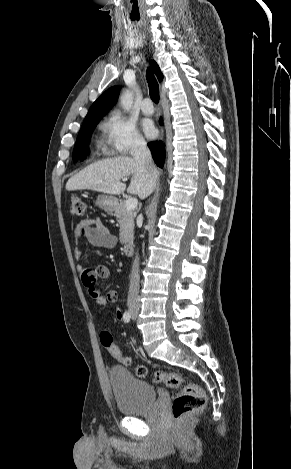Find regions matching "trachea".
Masks as SVG:
<instances>
[{
    "label": "trachea",
    "instance_id": "obj_1",
    "mask_svg": "<svg viewBox=\"0 0 291 469\" xmlns=\"http://www.w3.org/2000/svg\"><path fill=\"white\" fill-rule=\"evenodd\" d=\"M146 77L149 86L150 97L152 101L157 104L159 102V85L157 80L150 69H147Z\"/></svg>",
    "mask_w": 291,
    "mask_h": 469
}]
</instances>
